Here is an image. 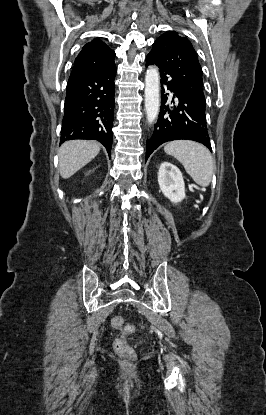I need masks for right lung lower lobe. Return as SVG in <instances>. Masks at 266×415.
<instances>
[{
    "label": "right lung lower lobe",
    "mask_w": 266,
    "mask_h": 415,
    "mask_svg": "<svg viewBox=\"0 0 266 415\" xmlns=\"http://www.w3.org/2000/svg\"><path fill=\"white\" fill-rule=\"evenodd\" d=\"M115 74L114 64L105 71L68 81L60 144L71 139H94L110 156Z\"/></svg>",
    "instance_id": "obj_1"
}]
</instances>
